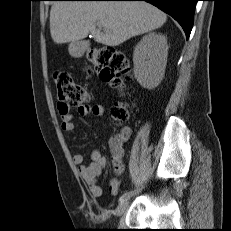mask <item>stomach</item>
Returning a JSON list of instances; mask_svg holds the SVG:
<instances>
[{
  "mask_svg": "<svg viewBox=\"0 0 231 231\" xmlns=\"http://www.w3.org/2000/svg\"><path fill=\"white\" fill-rule=\"evenodd\" d=\"M83 52L80 42H72L69 45V53L73 56H78Z\"/></svg>",
  "mask_w": 231,
  "mask_h": 231,
  "instance_id": "0dacf381",
  "label": "stomach"
}]
</instances>
